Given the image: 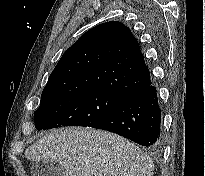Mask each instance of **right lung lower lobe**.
I'll return each mask as SVG.
<instances>
[{
  "mask_svg": "<svg viewBox=\"0 0 205 176\" xmlns=\"http://www.w3.org/2000/svg\"><path fill=\"white\" fill-rule=\"evenodd\" d=\"M126 137L152 151L162 147L161 110L156 88L149 85L130 93L103 121L93 126Z\"/></svg>",
  "mask_w": 205,
  "mask_h": 176,
  "instance_id": "1",
  "label": "right lung lower lobe"
}]
</instances>
